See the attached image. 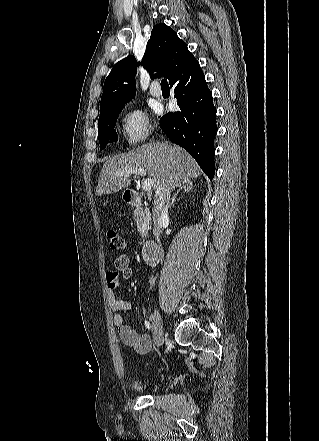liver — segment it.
Masks as SVG:
<instances>
[{"label": "liver", "mask_w": 319, "mask_h": 441, "mask_svg": "<svg viewBox=\"0 0 319 441\" xmlns=\"http://www.w3.org/2000/svg\"><path fill=\"white\" fill-rule=\"evenodd\" d=\"M128 168H144L154 190L163 194L197 179L202 173L196 161L181 147L167 142L148 143L107 159L100 172L96 195L112 194L128 187L130 174L116 175Z\"/></svg>", "instance_id": "1"}]
</instances>
